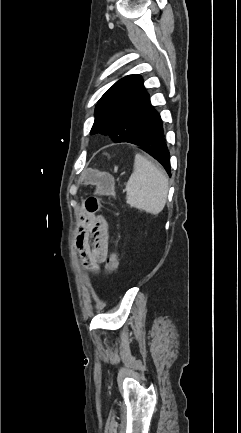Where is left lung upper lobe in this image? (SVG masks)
Wrapping results in <instances>:
<instances>
[{
    "mask_svg": "<svg viewBox=\"0 0 241 433\" xmlns=\"http://www.w3.org/2000/svg\"><path fill=\"white\" fill-rule=\"evenodd\" d=\"M158 116L141 76L128 75L118 80L98 101L91 134L110 135L116 143L127 142L146 131Z\"/></svg>",
    "mask_w": 241,
    "mask_h": 433,
    "instance_id": "obj_1",
    "label": "left lung upper lobe"
}]
</instances>
